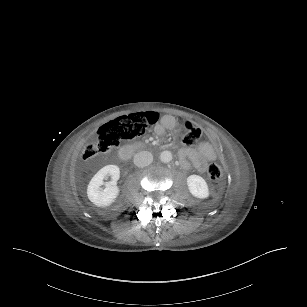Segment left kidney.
Masks as SVG:
<instances>
[{
	"label": "left kidney",
	"instance_id": "obj_1",
	"mask_svg": "<svg viewBox=\"0 0 307 307\" xmlns=\"http://www.w3.org/2000/svg\"><path fill=\"white\" fill-rule=\"evenodd\" d=\"M188 190L193 197L206 199L209 197V187L205 179L199 175H189L186 179Z\"/></svg>",
	"mask_w": 307,
	"mask_h": 307
}]
</instances>
